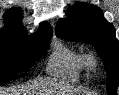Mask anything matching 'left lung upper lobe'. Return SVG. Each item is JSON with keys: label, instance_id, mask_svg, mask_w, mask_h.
Here are the masks:
<instances>
[{"label": "left lung upper lobe", "instance_id": "5c2ea615", "mask_svg": "<svg viewBox=\"0 0 119 95\" xmlns=\"http://www.w3.org/2000/svg\"><path fill=\"white\" fill-rule=\"evenodd\" d=\"M67 15V19L59 20L56 35L66 40L84 41L93 45L106 67L108 95H117L119 43L113 25L104 19L100 8L88 3L75 4Z\"/></svg>", "mask_w": 119, "mask_h": 95}]
</instances>
